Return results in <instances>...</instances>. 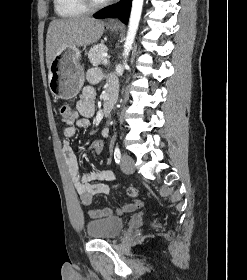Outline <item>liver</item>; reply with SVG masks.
<instances>
[{"mask_svg": "<svg viewBox=\"0 0 247 280\" xmlns=\"http://www.w3.org/2000/svg\"><path fill=\"white\" fill-rule=\"evenodd\" d=\"M104 22L90 17L53 20L46 37V64L49 69L58 51L66 46L96 43L104 32Z\"/></svg>", "mask_w": 247, "mask_h": 280, "instance_id": "liver-1", "label": "liver"}]
</instances>
